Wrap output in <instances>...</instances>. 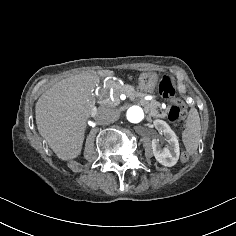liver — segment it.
Instances as JSON below:
<instances>
[{
    "mask_svg": "<svg viewBox=\"0 0 236 236\" xmlns=\"http://www.w3.org/2000/svg\"><path fill=\"white\" fill-rule=\"evenodd\" d=\"M117 74L110 69L91 70L61 79L48 88L35 104V121L40 137L63 162L82 154L87 121L96 109L93 92L101 78ZM110 112L111 103L100 107Z\"/></svg>",
    "mask_w": 236,
    "mask_h": 236,
    "instance_id": "1",
    "label": "liver"
}]
</instances>
